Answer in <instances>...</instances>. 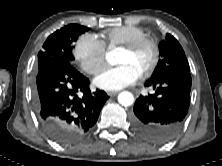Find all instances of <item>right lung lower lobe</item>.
I'll list each match as a JSON object with an SVG mask.
<instances>
[{
	"instance_id": "98d812e1",
	"label": "right lung lower lobe",
	"mask_w": 222,
	"mask_h": 166,
	"mask_svg": "<svg viewBox=\"0 0 222 166\" xmlns=\"http://www.w3.org/2000/svg\"><path fill=\"white\" fill-rule=\"evenodd\" d=\"M109 97L91 92L89 80L72 65L54 64L40 69L33 88V103L44 132L54 141L70 144L96 123Z\"/></svg>"
}]
</instances>
